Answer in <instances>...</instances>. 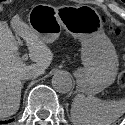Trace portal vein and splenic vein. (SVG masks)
<instances>
[{
  "label": "portal vein and splenic vein",
  "instance_id": "portal-vein-and-splenic-vein-1",
  "mask_svg": "<svg viewBox=\"0 0 125 125\" xmlns=\"http://www.w3.org/2000/svg\"><path fill=\"white\" fill-rule=\"evenodd\" d=\"M20 59L26 61L28 59V54H24Z\"/></svg>",
  "mask_w": 125,
  "mask_h": 125
}]
</instances>
